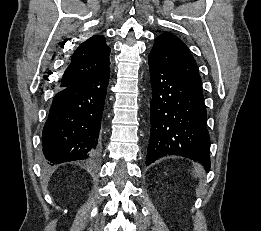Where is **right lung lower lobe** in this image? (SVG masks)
<instances>
[{
  "label": "right lung lower lobe",
  "instance_id": "obj_1",
  "mask_svg": "<svg viewBox=\"0 0 261 231\" xmlns=\"http://www.w3.org/2000/svg\"><path fill=\"white\" fill-rule=\"evenodd\" d=\"M109 78L110 67L56 93L42 134L47 165L98 154Z\"/></svg>",
  "mask_w": 261,
  "mask_h": 231
}]
</instances>
